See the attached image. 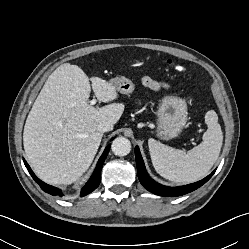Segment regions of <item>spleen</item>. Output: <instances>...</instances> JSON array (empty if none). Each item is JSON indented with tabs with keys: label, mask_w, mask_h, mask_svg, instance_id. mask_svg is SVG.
<instances>
[{
	"label": "spleen",
	"mask_w": 249,
	"mask_h": 249,
	"mask_svg": "<svg viewBox=\"0 0 249 249\" xmlns=\"http://www.w3.org/2000/svg\"><path fill=\"white\" fill-rule=\"evenodd\" d=\"M208 126L202 142L193 149L168 147L152 138L148 140L153 166L162 177L182 183H192L204 177L217 161L223 142V133L214 110L205 115Z\"/></svg>",
	"instance_id": "1"
}]
</instances>
